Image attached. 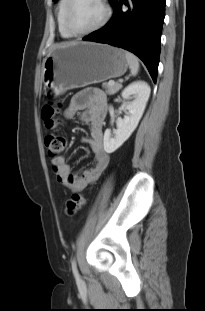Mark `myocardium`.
Here are the masks:
<instances>
[{
	"mask_svg": "<svg viewBox=\"0 0 205 311\" xmlns=\"http://www.w3.org/2000/svg\"><path fill=\"white\" fill-rule=\"evenodd\" d=\"M74 2H75V0H67V4L65 7V14H64L65 27L72 36L81 37V36H86V35L92 34L94 32L99 31L100 29H102L109 22V20L111 18V14H112L109 1L108 0H98V2L102 5V7L104 9V16L101 19V21L97 25H95L94 27H92L88 30H84V31L75 30L72 27L71 22H70L71 9H72Z\"/></svg>",
	"mask_w": 205,
	"mask_h": 311,
	"instance_id": "f54148a6",
	"label": "myocardium"
}]
</instances>
